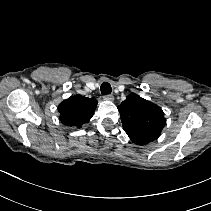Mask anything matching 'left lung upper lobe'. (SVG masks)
I'll use <instances>...</instances> for the list:
<instances>
[{
  "mask_svg": "<svg viewBox=\"0 0 211 211\" xmlns=\"http://www.w3.org/2000/svg\"><path fill=\"white\" fill-rule=\"evenodd\" d=\"M124 131L136 144L156 140L166 124L162 109L156 104L131 93L119 106Z\"/></svg>",
  "mask_w": 211,
  "mask_h": 211,
  "instance_id": "left-lung-upper-lobe-1",
  "label": "left lung upper lobe"
}]
</instances>
